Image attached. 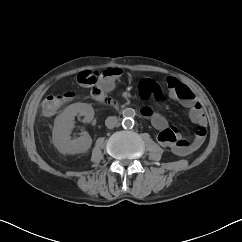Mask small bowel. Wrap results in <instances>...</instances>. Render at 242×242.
Masks as SVG:
<instances>
[{"mask_svg": "<svg viewBox=\"0 0 242 242\" xmlns=\"http://www.w3.org/2000/svg\"><path fill=\"white\" fill-rule=\"evenodd\" d=\"M122 70L118 67H109L102 74L96 84L92 88L93 96L98 98L101 92H109L114 89L116 81L122 76ZM168 95L172 100L180 102L189 109V117L196 125L194 138L189 141L185 139L176 127L169 126L167 120L160 113L156 112L152 107L145 106L141 109V114L149 119L152 125L158 130V141L161 145L172 146L176 154L185 156L196 151L205 140L206 137V119L200 102L196 100L192 90L174 77H168L165 81ZM182 86L187 95L179 94V87ZM139 94L142 99H149L153 95H143L140 90ZM70 98V93H67ZM68 98V100H69Z\"/></svg>", "mask_w": 242, "mask_h": 242, "instance_id": "c3829d8e", "label": "small bowel"}]
</instances>
